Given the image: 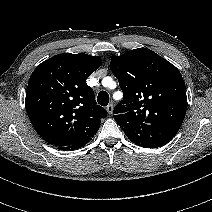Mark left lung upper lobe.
Here are the masks:
<instances>
[{"label":"left lung upper lobe","instance_id":"obj_1","mask_svg":"<svg viewBox=\"0 0 212 212\" xmlns=\"http://www.w3.org/2000/svg\"><path fill=\"white\" fill-rule=\"evenodd\" d=\"M110 69L124 95L113 112L123 131L143 124L182 125L186 87L174 65L149 49L138 48L112 56Z\"/></svg>","mask_w":212,"mask_h":212}]
</instances>
